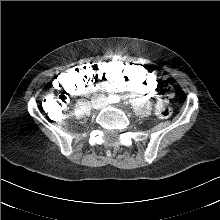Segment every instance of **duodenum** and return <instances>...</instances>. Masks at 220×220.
Wrapping results in <instances>:
<instances>
[{
    "instance_id": "1",
    "label": "duodenum",
    "mask_w": 220,
    "mask_h": 220,
    "mask_svg": "<svg viewBox=\"0 0 220 220\" xmlns=\"http://www.w3.org/2000/svg\"><path fill=\"white\" fill-rule=\"evenodd\" d=\"M84 90L89 93V92H95L99 90H105V88L102 86H92V87L87 86Z\"/></svg>"
}]
</instances>
